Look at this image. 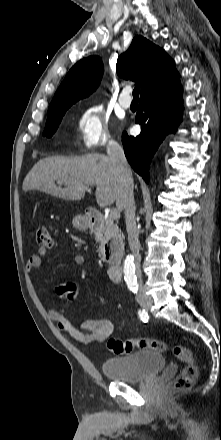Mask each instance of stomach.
<instances>
[{
    "label": "stomach",
    "mask_w": 221,
    "mask_h": 440,
    "mask_svg": "<svg viewBox=\"0 0 221 440\" xmlns=\"http://www.w3.org/2000/svg\"><path fill=\"white\" fill-rule=\"evenodd\" d=\"M72 224L76 229L85 230L90 227L91 221L86 216L78 215L73 218Z\"/></svg>",
    "instance_id": "0dacf381"
}]
</instances>
